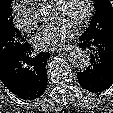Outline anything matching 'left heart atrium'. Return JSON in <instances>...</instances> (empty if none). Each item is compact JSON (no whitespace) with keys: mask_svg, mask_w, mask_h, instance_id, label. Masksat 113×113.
<instances>
[{"mask_svg":"<svg viewBox=\"0 0 113 113\" xmlns=\"http://www.w3.org/2000/svg\"><path fill=\"white\" fill-rule=\"evenodd\" d=\"M74 27L62 21H55L45 26L35 37L34 43L38 50L60 48L72 35Z\"/></svg>","mask_w":113,"mask_h":113,"instance_id":"left-heart-atrium-1","label":"left heart atrium"}]
</instances>
